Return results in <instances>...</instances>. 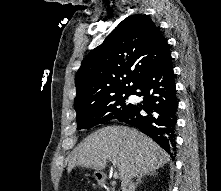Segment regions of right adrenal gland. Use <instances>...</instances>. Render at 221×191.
<instances>
[{"instance_id": "obj_1", "label": "right adrenal gland", "mask_w": 221, "mask_h": 191, "mask_svg": "<svg viewBox=\"0 0 221 191\" xmlns=\"http://www.w3.org/2000/svg\"><path fill=\"white\" fill-rule=\"evenodd\" d=\"M156 174H157V173H156L155 171H151V172H148V173H145V174L139 176L138 179L136 180V183H135V184L133 185V187H132V191H135V189L137 188L138 184H140L141 179H142L143 177H146V176H154V175H156Z\"/></svg>"}]
</instances>
